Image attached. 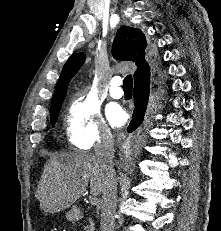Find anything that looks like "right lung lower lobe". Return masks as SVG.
Instances as JSON below:
<instances>
[{
	"mask_svg": "<svg viewBox=\"0 0 221 231\" xmlns=\"http://www.w3.org/2000/svg\"><path fill=\"white\" fill-rule=\"evenodd\" d=\"M162 79L163 76L160 73L158 80L162 81ZM149 81L134 86L135 109L133 112L132 121L127 128L128 132L136 130L143 122L149 99Z\"/></svg>",
	"mask_w": 221,
	"mask_h": 231,
	"instance_id": "1",
	"label": "right lung lower lobe"
}]
</instances>
